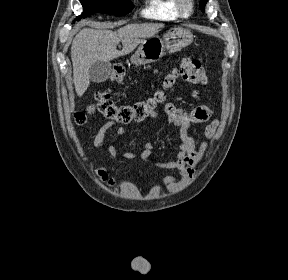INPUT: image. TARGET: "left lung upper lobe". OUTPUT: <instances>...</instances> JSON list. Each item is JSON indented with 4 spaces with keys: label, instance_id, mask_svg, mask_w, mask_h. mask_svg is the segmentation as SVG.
Instances as JSON below:
<instances>
[{
    "label": "left lung upper lobe",
    "instance_id": "5c2ea615",
    "mask_svg": "<svg viewBox=\"0 0 288 280\" xmlns=\"http://www.w3.org/2000/svg\"><path fill=\"white\" fill-rule=\"evenodd\" d=\"M208 0H200V8L202 9V11H204V6L207 3Z\"/></svg>",
    "mask_w": 288,
    "mask_h": 280
}]
</instances>
